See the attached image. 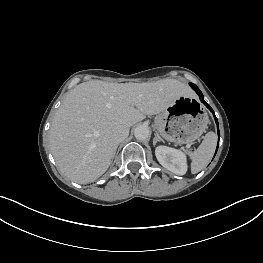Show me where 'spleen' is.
<instances>
[{"label": "spleen", "instance_id": "spleen-1", "mask_svg": "<svg viewBox=\"0 0 263 263\" xmlns=\"http://www.w3.org/2000/svg\"><path fill=\"white\" fill-rule=\"evenodd\" d=\"M216 142V134L208 132L199 148L195 152L189 153L192 160L191 172L193 174L200 172L209 162L214 153Z\"/></svg>", "mask_w": 263, "mask_h": 263}]
</instances>
